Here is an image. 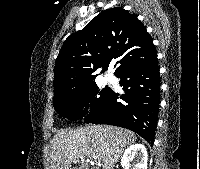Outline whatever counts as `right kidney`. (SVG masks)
Wrapping results in <instances>:
<instances>
[{
  "instance_id": "1",
  "label": "right kidney",
  "mask_w": 200,
  "mask_h": 169,
  "mask_svg": "<svg viewBox=\"0 0 200 169\" xmlns=\"http://www.w3.org/2000/svg\"><path fill=\"white\" fill-rule=\"evenodd\" d=\"M132 160L136 162L133 169H147L148 154L143 144H133L125 150L121 158L122 167L129 169Z\"/></svg>"
}]
</instances>
